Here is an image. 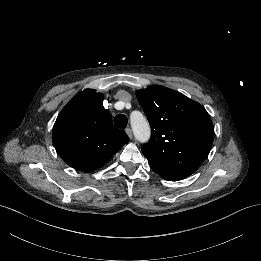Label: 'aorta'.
I'll list each match as a JSON object with an SVG mask.
<instances>
[{
    "instance_id": "1",
    "label": "aorta",
    "mask_w": 261,
    "mask_h": 261,
    "mask_svg": "<svg viewBox=\"0 0 261 261\" xmlns=\"http://www.w3.org/2000/svg\"><path fill=\"white\" fill-rule=\"evenodd\" d=\"M130 124L137 141L144 143L149 140L151 134L150 125L140 111H133L130 114Z\"/></svg>"
}]
</instances>
